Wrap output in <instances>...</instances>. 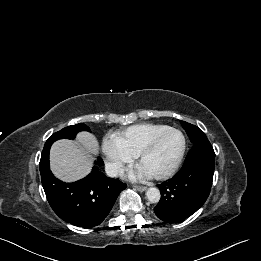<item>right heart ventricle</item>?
Instances as JSON below:
<instances>
[{"instance_id":"e07e8e85","label":"right heart ventricle","mask_w":261,"mask_h":261,"mask_svg":"<svg viewBox=\"0 0 261 261\" xmlns=\"http://www.w3.org/2000/svg\"><path fill=\"white\" fill-rule=\"evenodd\" d=\"M168 127L164 124L141 123L132 125L113 136L129 155L136 157L154 135Z\"/></svg>"}]
</instances>
